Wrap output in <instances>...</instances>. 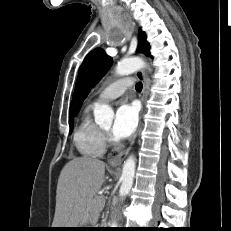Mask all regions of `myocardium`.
Returning <instances> with one entry per match:
<instances>
[{
	"label": "myocardium",
	"instance_id": "myocardium-1",
	"mask_svg": "<svg viewBox=\"0 0 231 231\" xmlns=\"http://www.w3.org/2000/svg\"><path fill=\"white\" fill-rule=\"evenodd\" d=\"M101 131H102L105 142L106 143H112V139L109 135V132L105 131L104 129H101Z\"/></svg>",
	"mask_w": 231,
	"mask_h": 231
}]
</instances>
